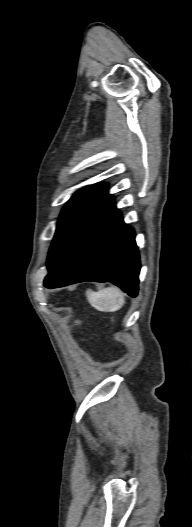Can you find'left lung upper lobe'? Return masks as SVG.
<instances>
[{"mask_svg":"<svg viewBox=\"0 0 192 527\" xmlns=\"http://www.w3.org/2000/svg\"><path fill=\"white\" fill-rule=\"evenodd\" d=\"M107 192L105 183L86 186L75 192L67 202L60 215L50 247L47 260L49 270L83 223L109 196Z\"/></svg>","mask_w":192,"mask_h":527,"instance_id":"5c2ea615","label":"left lung upper lobe"}]
</instances>
